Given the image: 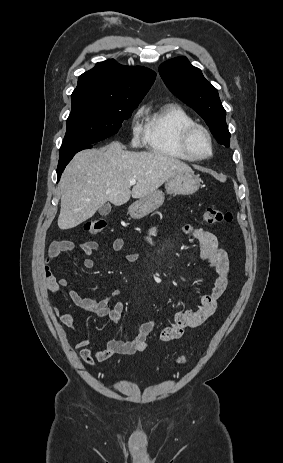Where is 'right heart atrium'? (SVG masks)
I'll return each instance as SVG.
<instances>
[{"label":"right heart atrium","mask_w":283,"mask_h":463,"mask_svg":"<svg viewBox=\"0 0 283 463\" xmlns=\"http://www.w3.org/2000/svg\"><path fill=\"white\" fill-rule=\"evenodd\" d=\"M131 131H132V143L134 145L139 144L140 138L143 132L142 126L140 124V114L136 113L132 125H131Z\"/></svg>","instance_id":"1"}]
</instances>
